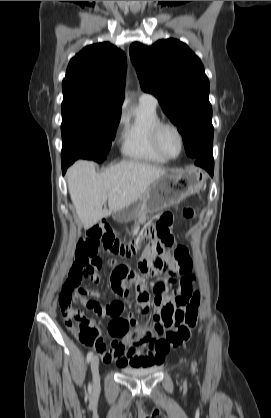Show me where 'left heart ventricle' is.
Returning a JSON list of instances; mask_svg holds the SVG:
<instances>
[{
    "label": "left heart ventricle",
    "mask_w": 271,
    "mask_h": 418,
    "mask_svg": "<svg viewBox=\"0 0 271 418\" xmlns=\"http://www.w3.org/2000/svg\"><path fill=\"white\" fill-rule=\"evenodd\" d=\"M160 142L163 150L168 155L175 156L179 152V140L173 130H163L160 136Z\"/></svg>",
    "instance_id": "b2bd125f"
}]
</instances>
